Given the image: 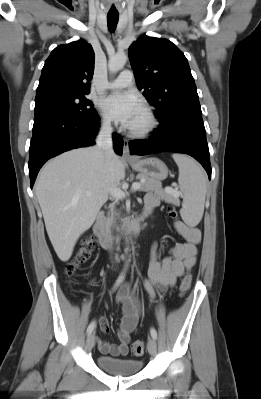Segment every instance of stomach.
<instances>
[{"instance_id":"obj_1","label":"stomach","mask_w":261,"mask_h":399,"mask_svg":"<svg viewBox=\"0 0 261 399\" xmlns=\"http://www.w3.org/2000/svg\"><path fill=\"white\" fill-rule=\"evenodd\" d=\"M131 167L140 174L155 180H164L168 176V167L158 158L136 159L130 162Z\"/></svg>"}]
</instances>
